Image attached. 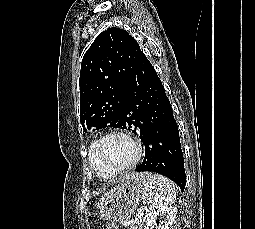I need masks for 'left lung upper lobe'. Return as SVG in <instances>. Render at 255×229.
Segmentation results:
<instances>
[{"label": "left lung upper lobe", "instance_id": "obj_1", "mask_svg": "<svg viewBox=\"0 0 255 229\" xmlns=\"http://www.w3.org/2000/svg\"><path fill=\"white\" fill-rule=\"evenodd\" d=\"M142 53L137 41L123 29L109 28L97 36L81 63L83 127L93 131L108 126L127 129L124 93Z\"/></svg>", "mask_w": 255, "mask_h": 229}]
</instances>
